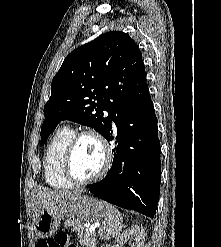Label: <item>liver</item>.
<instances>
[{
    "mask_svg": "<svg viewBox=\"0 0 221 247\" xmlns=\"http://www.w3.org/2000/svg\"><path fill=\"white\" fill-rule=\"evenodd\" d=\"M82 190L71 191H40L34 200L35 205V219L39 216L40 212L44 209H52L63 204H66L76 197L80 196Z\"/></svg>",
    "mask_w": 221,
    "mask_h": 247,
    "instance_id": "obj_1",
    "label": "liver"
}]
</instances>
